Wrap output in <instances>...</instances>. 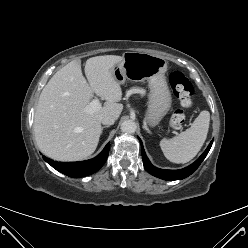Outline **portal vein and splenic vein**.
Instances as JSON below:
<instances>
[{"label": "portal vein and splenic vein", "instance_id": "1", "mask_svg": "<svg viewBox=\"0 0 248 248\" xmlns=\"http://www.w3.org/2000/svg\"><path fill=\"white\" fill-rule=\"evenodd\" d=\"M101 107V103L98 98H95L90 102V104L86 107L88 112H93L98 110Z\"/></svg>", "mask_w": 248, "mask_h": 248}]
</instances>
